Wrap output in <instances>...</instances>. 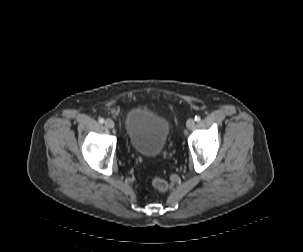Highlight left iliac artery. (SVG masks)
Returning <instances> with one entry per match:
<instances>
[{
	"mask_svg": "<svg viewBox=\"0 0 303 252\" xmlns=\"http://www.w3.org/2000/svg\"><path fill=\"white\" fill-rule=\"evenodd\" d=\"M201 120V117L199 115L195 116V121L199 122Z\"/></svg>",
	"mask_w": 303,
	"mask_h": 252,
	"instance_id": "44dca946",
	"label": "left iliac artery"
}]
</instances>
